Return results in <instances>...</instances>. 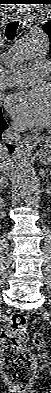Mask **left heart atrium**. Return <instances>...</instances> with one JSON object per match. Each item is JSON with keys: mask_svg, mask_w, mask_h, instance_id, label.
<instances>
[{"mask_svg": "<svg viewBox=\"0 0 51 393\" xmlns=\"http://www.w3.org/2000/svg\"><path fill=\"white\" fill-rule=\"evenodd\" d=\"M11 114L26 126L47 127L51 122V98L44 89L13 94L8 99Z\"/></svg>", "mask_w": 51, "mask_h": 393, "instance_id": "obj_1", "label": "left heart atrium"}]
</instances>
